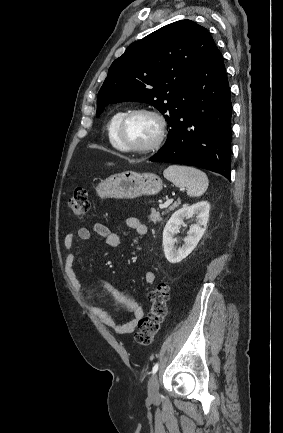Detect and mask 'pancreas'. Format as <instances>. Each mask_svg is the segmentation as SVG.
Segmentation results:
<instances>
[{
    "label": "pancreas",
    "mask_w": 283,
    "mask_h": 433,
    "mask_svg": "<svg viewBox=\"0 0 283 433\" xmlns=\"http://www.w3.org/2000/svg\"><path fill=\"white\" fill-rule=\"evenodd\" d=\"M175 208L174 204L173 206H170L169 210H173ZM167 210V212H169ZM161 214H165L164 210L163 212H159V210H156V208H151V214H149L148 219H150V223H157V221H162Z\"/></svg>",
    "instance_id": "pancreas-1"
}]
</instances>
